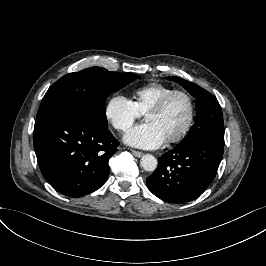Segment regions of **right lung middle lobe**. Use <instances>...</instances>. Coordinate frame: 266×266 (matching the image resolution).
I'll use <instances>...</instances> for the list:
<instances>
[{"label": "right lung middle lobe", "mask_w": 266, "mask_h": 266, "mask_svg": "<svg viewBox=\"0 0 266 266\" xmlns=\"http://www.w3.org/2000/svg\"><path fill=\"white\" fill-rule=\"evenodd\" d=\"M135 78L138 76L133 73L109 72L101 67L69 73L48 89L36 119L53 111L65 109L80 113L99 127L108 128L105 114L106 98Z\"/></svg>", "instance_id": "right-lung-middle-lobe-1"}]
</instances>
